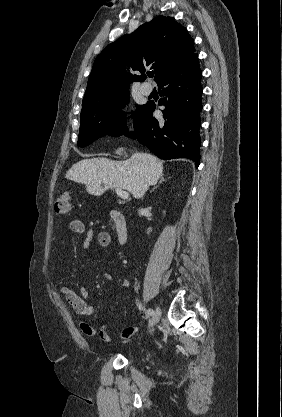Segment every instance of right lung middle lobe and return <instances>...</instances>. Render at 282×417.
<instances>
[{
	"mask_svg": "<svg viewBox=\"0 0 282 417\" xmlns=\"http://www.w3.org/2000/svg\"><path fill=\"white\" fill-rule=\"evenodd\" d=\"M128 102L129 91L103 93L83 99L78 146L85 147L105 135L118 137L127 132L124 113L119 111ZM143 107L139 106L135 111L134 120Z\"/></svg>",
	"mask_w": 282,
	"mask_h": 417,
	"instance_id": "dd1d6c3e",
	"label": "right lung middle lobe"
}]
</instances>
